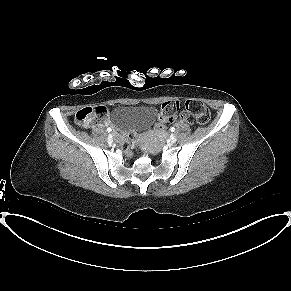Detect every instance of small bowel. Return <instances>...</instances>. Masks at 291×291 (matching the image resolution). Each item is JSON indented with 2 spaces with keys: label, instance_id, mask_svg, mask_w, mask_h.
I'll return each mask as SVG.
<instances>
[{
  "label": "small bowel",
  "instance_id": "1",
  "mask_svg": "<svg viewBox=\"0 0 291 291\" xmlns=\"http://www.w3.org/2000/svg\"><path fill=\"white\" fill-rule=\"evenodd\" d=\"M187 114H185V113H181L180 115H179V120L180 121H185L186 119H187ZM106 124H108V122H106Z\"/></svg>",
  "mask_w": 291,
  "mask_h": 291
}]
</instances>
